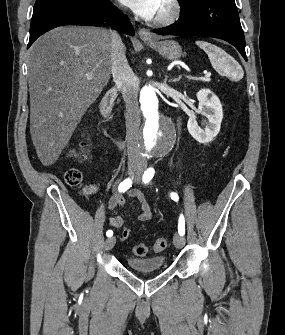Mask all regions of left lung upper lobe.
Masks as SVG:
<instances>
[{
  "mask_svg": "<svg viewBox=\"0 0 285 335\" xmlns=\"http://www.w3.org/2000/svg\"><path fill=\"white\" fill-rule=\"evenodd\" d=\"M178 1H179L180 4H181V3L189 2V1H191V0H178Z\"/></svg>",
  "mask_w": 285,
  "mask_h": 335,
  "instance_id": "left-lung-upper-lobe-1",
  "label": "left lung upper lobe"
}]
</instances>
